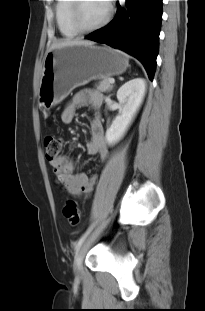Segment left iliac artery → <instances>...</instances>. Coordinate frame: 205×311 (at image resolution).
<instances>
[{"instance_id": "left-iliac-artery-1", "label": "left iliac artery", "mask_w": 205, "mask_h": 311, "mask_svg": "<svg viewBox=\"0 0 205 311\" xmlns=\"http://www.w3.org/2000/svg\"><path fill=\"white\" fill-rule=\"evenodd\" d=\"M92 230V226L87 229V231L80 237L78 242L76 243L75 249L78 250L82 243L85 241L86 237L89 235V233Z\"/></svg>"}]
</instances>
